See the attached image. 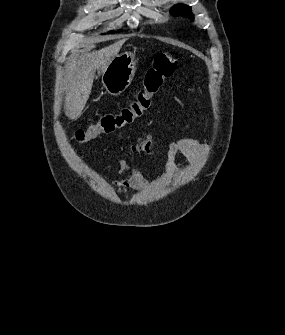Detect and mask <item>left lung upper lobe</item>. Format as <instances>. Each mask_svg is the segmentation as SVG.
Wrapping results in <instances>:
<instances>
[{"mask_svg":"<svg viewBox=\"0 0 285 335\" xmlns=\"http://www.w3.org/2000/svg\"><path fill=\"white\" fill-rule=\"evenodd\" d=\"M171 13L174 15L181 14L185 17H188L193 20V14L191 13V7L183 4L176 5L172 10Z\"/></svg>","mask_w":285,"mask_h":335,"instance_id":"5c2ea615","label":"left lung upper lobe"}]
</instances>
